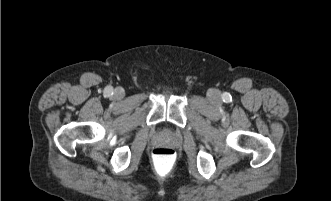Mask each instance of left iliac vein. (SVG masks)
<instances>
[{"instance_id":"4c4485c4","label":"left iliac vein","mask_w":331,"mask_h":201,"mask_svg":"<svg viewBox=\"0 0 331 201\" xmlns=\"http://www.w3.org/2000/svg\"><path fill=\"white\" fill-rule=\"evenodd\" d=\"M208 98H209V100H210L212 103L217 102V100H218V93H217V91H216V90H211V91H209V93H208Z\"/></svg>"}]
</instances>
